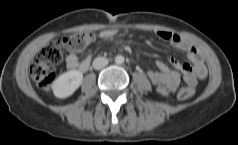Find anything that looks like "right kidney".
Here are the masks:
<instances>
[{"label": "right kidney", "mask_w": 238, "mask_h": 145, "mask_svg": "<svg viewBox=\"0 0 238 145\" xmlns=\"http://www.w3.org/2000/svg\"><path fill=\"white\" fill-rule=\"evenodd\" d=\"M83 73L79 70H70L61 74L52 84V90L57 98L71 96L82 84Z\"/></svg>", "instance_id": "ca27d5eb"}]
</instances>
